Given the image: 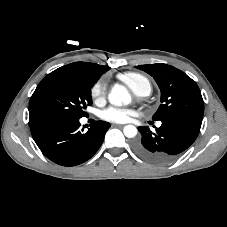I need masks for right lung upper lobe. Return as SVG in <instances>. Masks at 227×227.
<instances>
[{"instance_id": "cb5924a9", "label": "right lung upper lobe", "mask_w": 227, "mask_h": 227, "mask_svg": "<svg viewBox=\"0 0 227 227\" xmlns=\"http://www.w3.org/2000/svg\"><path fill=\"white\" fill-rule=\"evenodd\" d=\"M58 69L63 71H69V72L87 75L98 80L100 76L109 69V67L98 65L95 63L75 62V63L65 65L63 67H60Z\"/></svg>"}]
</instances>
